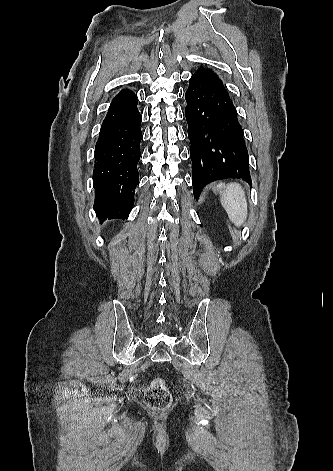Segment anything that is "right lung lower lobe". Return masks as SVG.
I'll return each instance as SVG.
<instances>
[{
	"label": "right lung lower lobe",
	"mask_w": 333,
	"mask_h": 471,
	"mask_svg": "<svg viewBox=\"0 0 333 471\" xmlns=\"http://www.w3.org/2000/svg\"><path fill=\"white\" fill-rule=\"evenodd\" d=\"M141 115L134 93L124 89L112 101L95 146L94 210L104 219H126L139 182Z\"/></svg>",
	"instance_id": "right-lung-lower-lobe-1"
}]
</instances>
